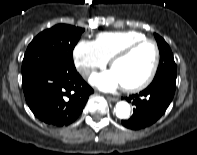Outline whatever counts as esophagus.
<instances>
[{
    "label": "esophagus",
    "instance_id": "esophagus-1",
    "mask_svg": "<svg viewBox=\"0 0 197 155\" xmlns=\"http://www.w3.org/2000/svg\"><path fill=\"white\" fill-rule=\"evenodd\" d=\"M106 98H107V100H109V101H113V102H115V101H117V100H118V98H117V97H112V96H106Z\"/></svg>",
    "mask_w": 197,
    "mask_h": 155
}]
</instances>
